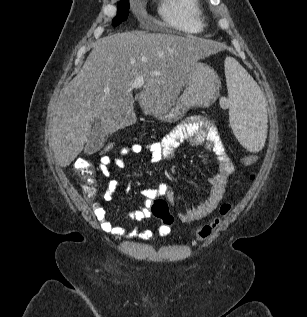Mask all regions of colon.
I'll use <instances>...</instances> for the list:
<instances>
[{"label":"colon","mask_w":307,"mask_h":317,"mask_svg":"<svg viewBox=\"0 0 307 317\" xmlns=\"http://www.w3.org/2000/svg\"><path fill=\"white\" fill-rule=\"evenodd\" d=\"M224 103H226L224 101ZM121 147L114 143H107L101 149V155L118 156L126 148ZM242 164L251 166L257 162V157L253 155L245 156L241 159ZM74 169L76 174L83 180V191L88 199H93L96 194V189L93 181V168L90 162L84 158H79L75 161ZM251 179L255 178L254 174H251ZM232 209V203L225 202L219 207L218 215L214 217L210 222L202 225L196 232V239L198 241L209 238L219 227L222 220L229 214ZM152 214L160 219L163 225L170 227L174 218L169 210L168 203L164 199H155L151 205Z\"/></svg>","instance_id":"1"}]
</instances>
